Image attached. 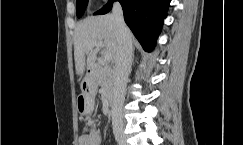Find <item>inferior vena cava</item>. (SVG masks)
Masks as SVG:
<instances>
[{
	"label": "inferior vena cava",
	"mask_w": 243,
	"mask_h": 145,
	"mask_svg": "<svg viewBox=\"0 0 243 145\" xmlns=\"http://www.w3.org/2000/svg\"><path fill=\"white\" fill-rule=\"evenodd\" d=\"M112 15L116 22L119 39V48L116 56L114 72L112 114L121 121L126 85L132 66V42L130 30L124 22L120 3H114Z\"/></svg>",
	"instance_id": "obj_1"
}]
</instances>
